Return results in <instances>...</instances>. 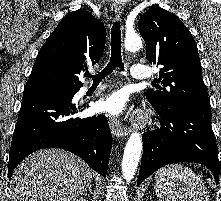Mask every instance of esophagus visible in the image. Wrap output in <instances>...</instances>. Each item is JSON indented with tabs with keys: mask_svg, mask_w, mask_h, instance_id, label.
Returning <instances> with one entry per match:
<instances>
[{
	"mask_svg": "<svg viewBox=\"0 0 221 201\" xmlns=\"http://www.w3.org/2000/svg\"><path fill=\"white\" fill-rule=\"evenodd\" d=\"M124 10V4L121 0H116L114 3V11L116 17L119 18ZM109 126L113 135L117 137H124L129 134V129L124 126L118 119L110 118L109 119Z\"/></svg>",
	"mask_w": 221,
	"mask_h": 201,
	"instance_id": "34e87169",
	"label": "esophagus"
}]
</instances>
